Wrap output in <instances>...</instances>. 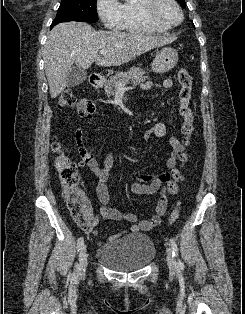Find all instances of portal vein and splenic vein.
<instances>
[{
  "mask_svg": "<svg viewBox=\"0 0 245 314\" xmlns=\"http://www.w3.org/2000/svg\"><path fill=\"white\" fill-rule=\"evenodd\" d=\"M100 54H101V55H105V54H107V51H106V50H102V51H100ZM118 87H119V88H123L124 85L120 83V84L118 85Z\"/></svg>",
  "mask_w": 245,
  "mask_h": 314,
  "instance_id": "portal-vein-and-splenic-vein-1",
  "label": "portal vein and splenic vein"
}]
</instances>
